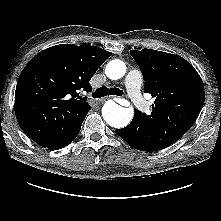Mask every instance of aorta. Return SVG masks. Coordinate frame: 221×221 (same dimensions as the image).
Here are the masks:
<instances>
[{
	"label": "aorta",
	"instance_id": "1",
	"mask_svg": "<svg viewBox=\"0 0 221 221\" xmlns=\"http://www.w3.org/2000/svg\"><path fill=\"white\" fill-rule=\"evenodd\" d=\"M126 73V65L119 59L111 60L106 68L105 74L111 80H118ZM133 109L124 108L112 100L107 101L102 108V116L106 123L114 128L127 126L133 118Z\"/></svg>",
	"mask_w": 221,
	"mask_h": 221
}]
</instances>
